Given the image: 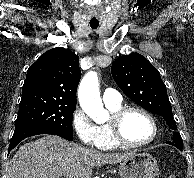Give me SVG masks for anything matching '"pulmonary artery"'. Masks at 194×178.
<instances>
[{"instance_id": "pulmonary-artery-1", "label": "pulmonary artery", "mask_w": 194, "mask_h": 178, "mask_svg": "<svg viewBox=\"0 0 194 178\" xmlns=\"http://www.w3.org/2000/svg\"><path fill=\"white\" fill-rule=\"evenodd\" d=\"M102 100L106 105L119 104L122 101V97L118 91L111 88H107L103 92Z\"/></svg>"}]
</instances>
